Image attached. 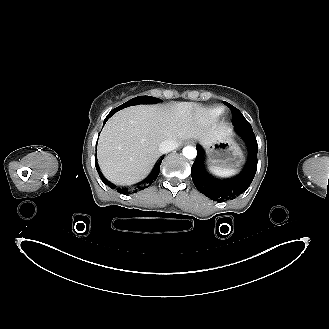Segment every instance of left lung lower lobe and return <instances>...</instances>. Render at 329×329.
I'll return each instance as SVG.
<instances>
[{
    "mask_svg": "<svg viewBox=\"0 0 329 329\" xmlns=\"http://www.w3.org/2000/svg\"><path fill=\"white\" fill-rule=\"evenodd\" d=\"M235 129L244 140L248 152V161L239 175L224 180L212 177L204 168L200 147H197V157L192 165L191 176L195 187L206 197L219 202L233 200L244 193L257 170L258 144L250 123L235 125Z\"/></svg>",
    "mask_w": 329,
    "mask_h": 329,
    "instance_id": "1",
    "label": "left lung lower lobe"
}]
</instances>
